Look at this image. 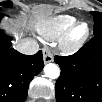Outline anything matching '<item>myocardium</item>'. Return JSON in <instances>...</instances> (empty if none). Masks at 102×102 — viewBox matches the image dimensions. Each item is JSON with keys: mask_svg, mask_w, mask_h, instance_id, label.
I'll return each mask as SVG.
<instances>
[{"mask_svg": "<svg viewBox=\"0 0 102 102\" xmlns=\"http://www.w3.org/2000/svg\"><path fill=\"white\" fill-rule=\"evenodd\" d=\"M83 28L84 33L79 38H75L74 34L79 28ZM88 35V26L85 23H77L72 25L63 35L59 37L58 47L66 53L72 54L84 43Z\"/></svg>", "mask_w": 102, "mask_h": 102, "instance_id": "f54148a6", "label": "myocardium"}]
</instances>
